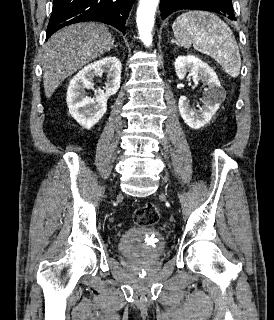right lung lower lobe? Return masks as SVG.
<instances>
[{"label":"right lung lower lobe","mask_w":274,"mask_h":320,"mask_svg":"<svg viewBox=\"0 0 274 320\" xmlns=\"http://www.w3.org/2000/svg\"><path fill=\"white\" fill-rule=\"evenodd\" d=\"M134 0H54L46 40L64 26L98 21L114 26L125 34V22Z\"/></svg>","instance_id":"right-lung-lower-lobe-1"}]
</instances>
